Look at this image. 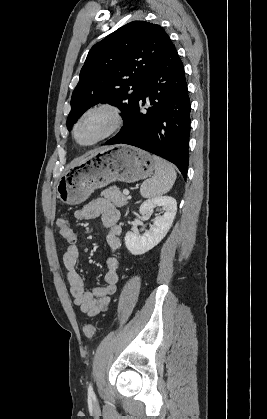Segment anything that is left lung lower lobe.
<instances>
[{
  "label": "left lung lower lobe",
  "mask_w": 267,
  "mask_h": 419,
  "mask_svg": "<svg viewBox=\"0 0 267 419\" xmlns=\"http://www.w3.org/2000/svg\"><path fill=\"white\" fill-rule=\"evenodd\" d=\"M145 83L121 131L105 144H129L156 154L174 163L186 179L191 104L184 67L172 42Z\"/></svg>",
  "instance_id": "1"
}]
</instances>
